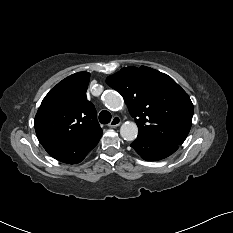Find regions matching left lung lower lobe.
Returning <instances> with one entry per match:
<instances>
[{"mask_svg": "<svg viewBox=\"0 0 233 233\" xmlns=\"http://www.w3.org/2000/svg\"><path fill=\"white\" fill-rule=\"evenodd\" d=\"M177 144L138 136L131 147L145 160L156 161L168 157L178 149Z\"/></svg>", "mask_w": 233, "mask_h": 233, "instance_id": "0a47b994", "label": "left lung lower lobe"}]
</instances>
